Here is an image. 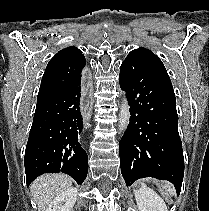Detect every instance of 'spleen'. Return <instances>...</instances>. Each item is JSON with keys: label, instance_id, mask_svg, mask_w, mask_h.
<instances>
[{"label": "spleen", "instance_id": "spleen-1", "mask_svg": "<svg viewBox=\"0 0 209 211\" xmlns=\"http://www.w3.org/2000/svg\"><path fill=\"white\" fill-rule=\"evenodd\" d=\"M163 189H164L165 195H167V196H172L175 194V188L169 182L164 183Z\"/></svg>", "mask_w": 209, "mask_h": 211}]
</instances>
